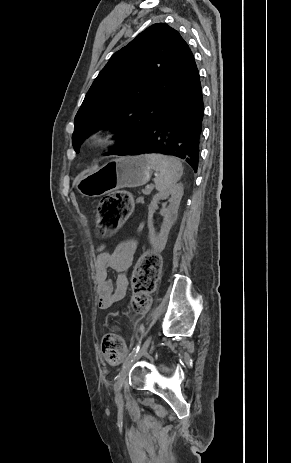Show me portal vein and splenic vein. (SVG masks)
Wrapping results in <instances>:
<instances>
[{
    "label": "portal vein and splenic vein",
    "instance_id": "1",
    "mask_svg": "<svg viewBox=\"0 0 291 463\" xmlns=\"http://www.w3.org/2000/svg\"><path fill=\"white\" fill-rule=\"evenodd\" d=\"M152 190V186H148L146 190L143 191L144 194H149Z\"/></svg>",
    "mask_w": 291,
    "mask_h": 463
}]
</instances>
